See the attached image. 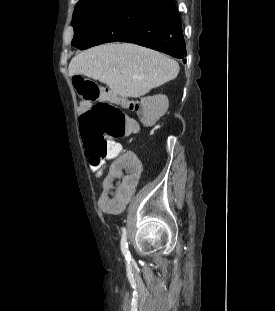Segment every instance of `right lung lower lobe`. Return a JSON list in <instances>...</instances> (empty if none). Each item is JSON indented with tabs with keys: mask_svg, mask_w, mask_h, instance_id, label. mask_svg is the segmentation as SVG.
<instances>
[{
	"mask_svg": "<svg viewBox=\"0 0 275 311\" xmlns=\"http://www.w3.org/2000/svg\"><path fill=\"white\" fill-rule=\"evenodd\" d=\"M117 41L142 45L186 62L181 20L173 1L159 6L138 20Z\"/></svg>",
	"mask_w": 275,
	"mask_h": 311,
	"instance_id": "1",
	"label": "right lung lower lobe"
}]
</instances>
